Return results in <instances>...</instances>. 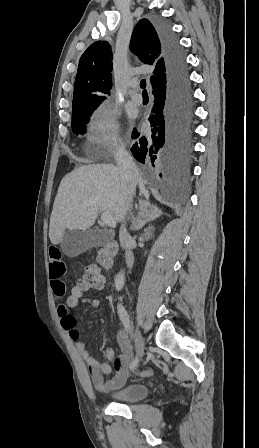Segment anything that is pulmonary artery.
Instances as JSON below:
<instances>
[{
  "instance_id": "obj_1",
  "label": "pulmonary artery",
  "mask_w": 259,
  "mask_h": 448,
  "mask_svg": "<svg viewBox=\"0 0 259 448\" xmlns=\"http://www.w3.org/2000/svg\"><path fill=\"white\" fill-rule=\"evenodd\" d=\"M131 88H138L139 87V81L138 80H133L130 84ZM131 101L136 103V104H140L142 102V97L140 95H132L131 96Z\"/></svg>"
}]
</instances>
